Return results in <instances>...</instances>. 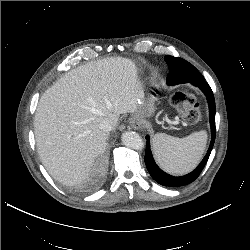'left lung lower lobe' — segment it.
Returning <instances> with one entry per match:
<instances>
[{
	"label": "left lung lower lobe",
	"instance_id": "1",
	"mask_svg": "<svg viewBox=\"0 0 250 250\" xmlns=\"http://www.w3.org/2000/svg\"><path fill=\"white\" fill-rule=\"evenodd\" d=\"M170 68V74L172 75V80L169 85H176L180 83H191L194 86L199 87L207 97L209 104V117H210V126H211V143L209 149L203 158L202 162L198 167L191 173L175 177L171 176L164 171H162L154 161L151 149H150V140L149 136H146V152H145V164L151 175V177L159 184L166 187H180L193 182L201 173L204 166L206 165L210 153L212 151L214 141H215V100L213 92L205 81L204 77L200 72L189 62L182 58H177L168 64Z\"/></svg>",
	"mask_w": 250,
	"mask_h": 250
}]
</instances>
